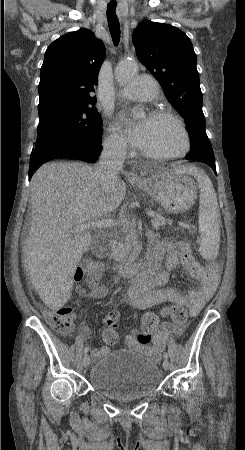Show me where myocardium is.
<instances>
[{"instance_id": "f54148a6", "label": "myocardium", "mask_w": 245, "mask_h": 450, "mask_svg": "<svg viewBox=\"0 0 245 450\" xmlns=\"http://www.w3.org/2000/svg\"><path fill=\"white\" fill-rule=\"evenodd\" d=\"M150 118L154 119V120L167 119V120L173 122L179 128V130L181 131V133L183 135L184 145H183V148L179 152L173 153V154H155V153H149V152L141 149V154L143 156L154 159L156 161L166 162V161H171V160L182 158L189 153V151L191 149V138H190L189 132H188L185 124L182 122V120L176 114H174L170 110L163 109V110H157V111L152 112L150 115Z\"/></svg>"}]
</instances>
